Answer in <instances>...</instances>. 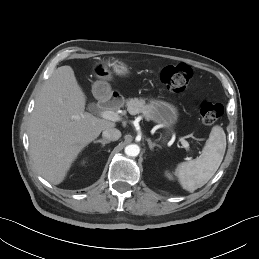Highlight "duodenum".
<instances>
[{"label":"duodenum","instance_id":"1","mask_svg":"<svg viewBox=\"0 0 259 259\" xmlns=\"http://www.w3.org/2000/svg\"><path fill=\"white\" fill-rule=\"evenodd\" d=\"M98 104L102 107H116L121 104V97L118 92H113L99 99Z\"/></svg>","mask_w":259,"mask_h":259}]
</instances>
